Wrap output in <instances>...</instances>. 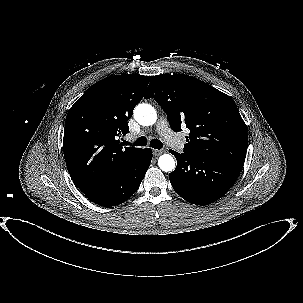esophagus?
I'll return each instance as SVG.
<instances>
[{
  "label": "esophagus",
  "instance_id": "obj_1",
  "mask_svg": "<svg viewBox=\"0 0 303 303\" xmlns=\"http://www.w3.org/2000/svg\"><path fill=\"white\" fill-rule=\"evenodd\" d=\"M162 153H164V150H153V154L155 155V156H159V155H161Z\"/></svg>",
  "mask_w": 303,
  "mask_h": 303
}]
</instances>
